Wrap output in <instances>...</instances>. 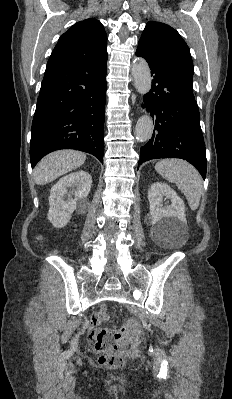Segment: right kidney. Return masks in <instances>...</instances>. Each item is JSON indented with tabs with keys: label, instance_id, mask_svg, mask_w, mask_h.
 <instances>
[{
	"label": "right kidney",
	"instance_id": "obj_1",
	"mask_svg": "<svg viewBox=\"0 0 232 399\" xmlns=\"http://www.w3.org/2000/svg\"><path fill=\"white\" fill-rule=\"evenodd\" d=\"M92 178L88 172H72L61 178L50 190L47 217L54 227H64L72 217L74 209L89 207L87 196Z\"/></svg>",
	"mask_w": 232,
	"mask_h": 399
}]
</instances>
